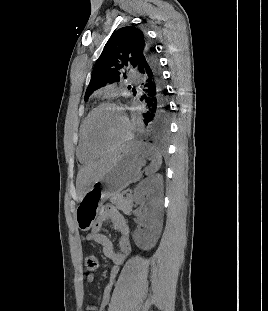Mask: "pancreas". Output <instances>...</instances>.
<instances>
[{"label": "pancreas", "mask_w": 268, "mask_h": 311, "mask_svg": "<svg viewBox=\"0 0 268 311\" xmlns=\"http://www.w3.org/2000/svg\"><path fill=\"white\" fill-rule=\"evenodd\" d=\"M110 201L112 204L116 206L119 210H121L124 214L130 215L133 207V197L131 195H127V197H123L121 193L114 195Z\"/></svg>", "instance_id": "1"}]
</instances>
